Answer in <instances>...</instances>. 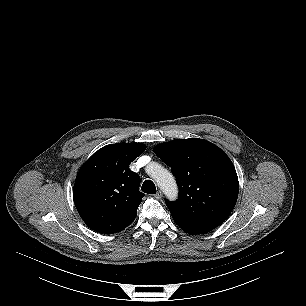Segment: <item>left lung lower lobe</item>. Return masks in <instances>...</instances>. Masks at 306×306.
Instances as JSON below:
<instances>
[{"mask_svg":"<svg viewBox=\"0 0 306 306\" xmlns=\"http://www.w3.org/2000/svg\"><path fill=\"white\" fill-rule=\"evenodd\" d=\"M176 224L181 229H183L184 231H186L187 233H190V234H202V233H206V232L211 231L210 229L198 228V227L190 226V225H187V224H182V223H179V222H176Z\"/></svg>","mask_w":306,"mask_h":306,"instance_id":"1","label":"left lung lower lobe"}]
</instances>
